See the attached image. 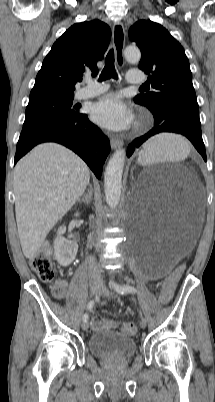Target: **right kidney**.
<instances>
[{
	"label": "right kidney",
	"instance_id": "ca27d5eb",
	"mask_svg": "<svg viewBox=\"0 0 215 402\" xmlns=\"http://www.w3.org/2000/svg\"><path fill=\"white\" fill-rule=\"evenodd\" d=\"M78 215V213L76 214ZM66 227L61 226L58 229L57 237L54 240V257L61 266H68L73 262L78 251L76 241L67 240L63 237Z\"/></svg>",
	"mask_w": 215,
	"mask_h": 402
}]
</instances>
